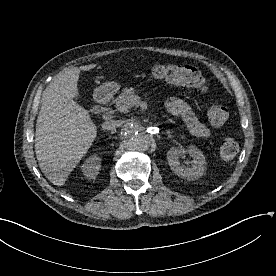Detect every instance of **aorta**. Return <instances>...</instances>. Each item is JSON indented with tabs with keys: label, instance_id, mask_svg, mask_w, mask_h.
Here are the masks:
<instances>
[{
	"label": "aorta",
	"instance_id": "762f6f07",
	"mask_svg": "<svg viewBox=\"0 0 276 276\" xmlns=\"http://www.w3.org/2000/svg\"><path fill=\"white\" fill-rule=\"evenodd\" d=\"M121 137L129 149L146 151L150 147V136L134 123L126 124L121 130Z\"/></svg>",
	"mask_w": 276,
	"mask_h": 276
}]
</instances>
